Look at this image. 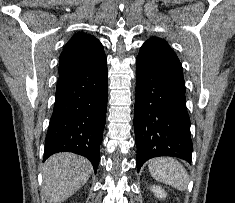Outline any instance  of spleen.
<instances>
[{
	"mask_svg": "<svg viewBox=\"0 0 235 203\" xmlns=\"http://www.w3.org/2000/svg\"><path fill=\"white\" fill-rule=\"evenodd\" d=\"M148 169L153 178L178 190L187 189L189 182L186 169L174 158H154L148 162Z\"/></svg>",
	"mask_w": 235,
	"mask_h": 203,
	"instance_id": "1",
	"label": "spleen"
}]
</instances>
